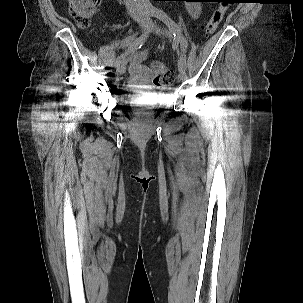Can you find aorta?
<instances>
[{"mask_svg": "<svg viewBox=\"0 0 303 303\" xmlns=\"http://www.w3.org/2000/svg\"><path fill=\"white\" fill-rule=\"evenodd\" d=\"M138 4L142 7L150 6V0H137Z\"/></svg>", "mask_w": 303, "mask_h": 303, "instance_id": "1", "label": "aorta"}]
</instances>
